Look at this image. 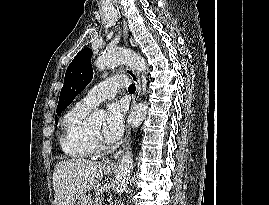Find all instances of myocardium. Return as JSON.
<instances>
[{"instance_id": "f54148a6", "label": "myocardium", "mask_w": 269, "mask_h": 205, "mask_svg": "<svg viewBox=\"0 0 269 205\" xmlns=\"http://www.w3.org/2000/svg\"><path fill=\"white\" fill-rule=\"evenodd\" d=\"M90 144L93 148V151L96 153H108L112 151L113 147L106 144L102 139L93 135L90 131H87Z\"/></svg>"}]
</instances>
